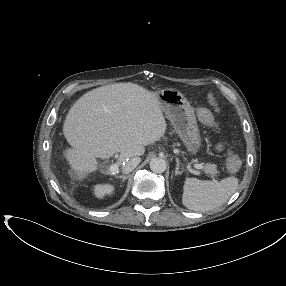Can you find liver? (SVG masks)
<instances>
[{
  "label": "liver",
  "instance_id": "liver-1",
  "mask_svg": "<svg viewBox=\"0 0 286 286\" xmlns=\"http://www.w3.org/2000/svg\"><path fill=\"white\" fill-rule=\"evenodd\" d=\"M154 92L135 83H114L82 95L70 108L63 134L72 148L64 151L79 176L97 171L96 158L120 152L118 165L142 156L146 145L164 136L167 128Z\"/></svg>",
  "mask_w": 286,
  "mask_h": 286
}]
</instances>
